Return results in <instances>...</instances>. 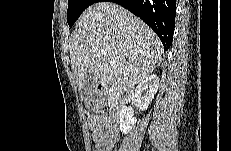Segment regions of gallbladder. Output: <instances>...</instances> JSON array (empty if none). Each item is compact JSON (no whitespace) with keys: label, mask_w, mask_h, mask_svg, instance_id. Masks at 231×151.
<instances>
[{"label":"gallbladder","mask_w":231,"mask_h":151,"mask_svg":"<svg viewBox=\"0 0 231 151\" xmlns=\"http://www.w3.org/2000/svg\"><path fill=\"white\" fill-rule=\"evenodd\" d=\"M97 78L93 74H88L81 89V98L84 102H91L96 97Z\"/></svg>","instance_id":"obj_1"}]
</instances>
